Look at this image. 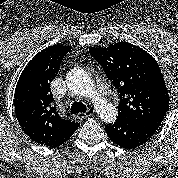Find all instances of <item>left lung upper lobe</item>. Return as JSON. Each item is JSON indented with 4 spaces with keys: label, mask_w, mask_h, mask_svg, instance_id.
Here are the masks:
<instances>
[{
    "label": "left lung upper lobe",
    "mask_w": 178,
    "mask_h": 178,
    "mask_svg": "<svg viewBox=\"0 0 178 178\" xmlns=\"http://www.w3.org/2000/svg\"><path fill=\"white\" fill-rule=\"evenodd\" d=\"M89 52L120 95L117 119L161 125L168 111L169 95L156 60L145 50L127 42L107 48L91 47Z\"/></svg>",
    "instance_id": "1"
}]
</instances>
